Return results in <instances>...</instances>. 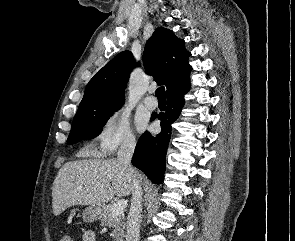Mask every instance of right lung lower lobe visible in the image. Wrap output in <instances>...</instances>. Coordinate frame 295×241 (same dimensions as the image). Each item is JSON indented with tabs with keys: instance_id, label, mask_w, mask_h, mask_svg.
I'll return each instance as SVG.
<instances>
[{
	"instance_id": "obj_1",
	"label": "right lung lower lobe",
	"mask_w": 295,
	"mask_h": 241,
	"mask_svg": "<svg viewBox=\"0 0 295 241\" xmlns=\"http://www.w3.org/2000/svg\"><path fill=\"white\" fill-rule=\"evenodd\" d=\"M190 83L167 92V107L164 113L152 115L151 120H161V132L152 136L145 132L139 139L132 158V164L143 171L155 184L162 183L166 169L165 156L171 136V124L178 118L184 105V95Z\"/></svg>"
}]
</instances>
